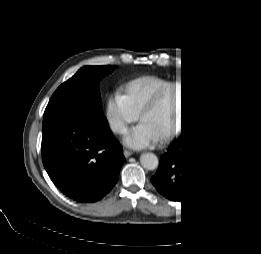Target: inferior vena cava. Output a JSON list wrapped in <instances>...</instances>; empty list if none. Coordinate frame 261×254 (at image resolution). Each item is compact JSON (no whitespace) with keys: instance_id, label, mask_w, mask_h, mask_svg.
Masks as SVG:
<instances>
[{"instance_id":"inferior-vena-cava-1","label":"inferior vena cava","mask_w":261,"mask_h":254,"mask_svg":"<svg viewBox=\"0 0 261 254\" xmlns=\"http://www.w3.org/2000/svg\"><path fill=\"white\" fill-rule=\"evenodd\" d=\"M110 126H111V129L113 132H120L123 128H124V125L123 123H121L120 121H111L110 122Z\"/></svg>"}]
</instances>
